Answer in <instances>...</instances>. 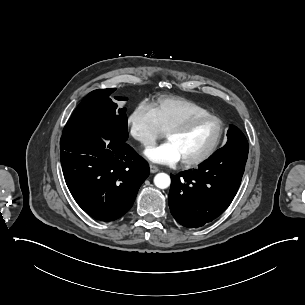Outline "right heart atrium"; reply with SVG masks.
Wrapping results in <instances>:
<instances>
[{"label":"right heart atrium","instance_id":"d8ad5b80","mask_svg":"<svg viewBox=\"0 0 305 305\" xmlns=\"http://www.w3.org/2000/svg\"><path fill=\"white\" fill-rule=\"evenodd\" d=\"M129 136L144 147L151 146L162 134L156 116L150 105L140 102L126 117Z\"/></svg>","mask_w":305,"mask_h":305}]
</instances>
